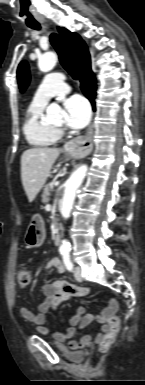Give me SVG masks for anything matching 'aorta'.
<instances>
[{
	"label": "aorta",
	"instance_id": "762f6f07",
	"mask_svg": "<svg viewBox=\"0 0 145 385\" xmlns=\"http://www.w3.org/2000/svg\"><path fill=\"white\" fill-rule=\"evenodd\" d=\"M56 62H57V56L52 52H48L39 58L38 66L42 72H49L56 65ZM60 112H61V109L58 105H50L47 108V115L49 117H52L54 114H57ZM86 173H87V166L86 165L80 166L71 175V177L67 180L65 184V190H64L62 205L60 209L61 215L65 219H68L70 217V213L75 200L76 191L82 184L86 176ZM60 250L69 251L70 243L66 240H63L60 246Z\"/></svg>",
	"mask_w": 145,
	"mask_h": 385
}]
</instances>
